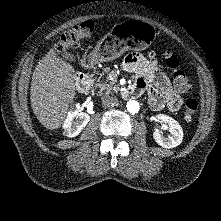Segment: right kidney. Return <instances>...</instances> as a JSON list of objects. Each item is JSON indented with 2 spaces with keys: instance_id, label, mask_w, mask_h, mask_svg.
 Returning a JSON list of instances; mask_svg holds the SVG:
<instances>
[{
  "instance_id": "right-kidney-1",
  "label": "right kidney",
  "mask_w": 221,
  "mask_h": 221,
  "mask_svg": "<svg viewBox=\"0 0 221 221\" xmlns=\"http://www.w3.org/2000/svg\"><path fill=\"white\" fill-rule=\"evenodd\" d=\"M90 120V116L80 111V105L70 107L68 115L63 123V134L67 137H75L81 133Z\"/></svg>"
}]
</instances>
